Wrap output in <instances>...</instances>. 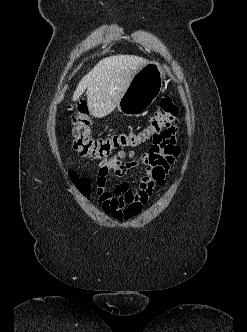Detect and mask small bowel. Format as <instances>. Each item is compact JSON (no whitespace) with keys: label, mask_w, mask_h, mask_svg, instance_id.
<instances>
[{"label":"small bowel","mask_w":247,"mask_h":332,"mask_svg":"<svg viewBox=\"0 0 247 332\" xmlns=\"http://www.w3.org/2000/svg\"><path fill=\"white\" fill-rule=\"evenodd\" d=\"M179 155L180 149L176 145L174 135L167 143L152 146L142 154L132 150L119 151L101 160L98 164L96 184L102 210L119 221L139 214L156 187L165 184L167 173ZM138 164L145 166L146 174L140 179L136 188H132L125 181L118 183L113 190L106 188L110 173L121 178Z\"/></svg>","instance_id":"c3829d8e"}]
</instances>
